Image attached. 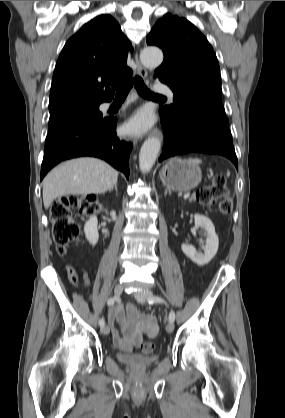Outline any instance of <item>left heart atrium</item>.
Here are the masks:
<instances>
[{
  "label": "left heart atrium",
  "instance_id": "39dd6f15",
  "mask_svg": "<svg viewBox=\"0 0 285 418\" xmlns=\"http://www.w3.org/2000/svg\"><path fill=\"white\" fill-rule=\"evenodd\" d=\"M153 122L152 113L147 109H140L127 120L125 131L129 135L140 136L152 127Z\"/></svg>",
  "mask_w": 285,
  "mask_h": 418
}]
</instances>
